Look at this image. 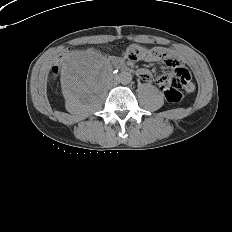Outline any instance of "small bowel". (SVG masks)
Masks as SVG:
<instances>
[{"instance_id":"obj_1","label":"small bowel","mask_w":232,"mask_h":232,"mask_svg":"<svg viewBox=\"0 0 232 232\" xmlns=\"http://www.w3.org/2000/svg\"><path fill=\"white\" fill-rule=\"evenodd\" d=\"M144 50V49H143ZM157 55H152L151 52H147L146 55L143 56V60L146 62H154V61H161L165 65L172 67L174 70L176 67H180L181 69L185 70L181 65V58L179 57L178 53L176 50L168 47H157L156 49ZM176 74V73H174ZM139 76L141 79L147 83L153 82V77L150 74L149 71L145 69L139 70ZM157 84L161 87L164 85L163 78H159L157 80ZM185 90L187 92H192L194 90V84L191 82V80L187 83L185 86Z\"/></svg>"}]
</instances>
